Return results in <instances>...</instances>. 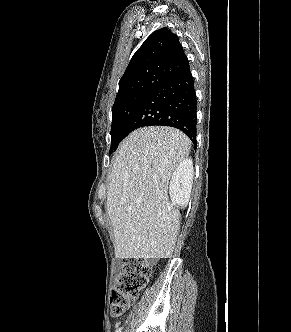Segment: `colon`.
Masks as SVG:
<instances>
[{"instance_id": "colon-1", "label": "colon", "mask_w": 291, "mask_h": 332, "mask_svg": "<svg viewBox=\"0 0 291 332\" xmlns=\"http://www.w3.org/2000/svg\"><path fill=\"white\" fill-rule=\"evenodd\" d=\"M150 274L151 267L143 259L130 257L123 260L110 296L114 315L123 314L133 304L146 286Z\"/></svg>"}]
</instances>
